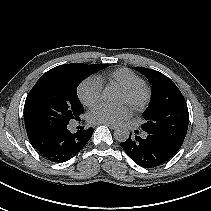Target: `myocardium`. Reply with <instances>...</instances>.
<instances>
[{"instance_id":"obj_1","label":"myocardium","mask_w":211,"mask_h":211,"mask_svg":"<svg viewBox=\"0 0 211 211\" xmlns=\"http://www.w3.org/2000/svg\"><path fill=\"white\" fill-rule=\"evenodd\" d=\"M123 93L127 96V103L138 111L149 105L152 96L151 89L144 83L124 88Z\"/></svg>"}]
</instances>
